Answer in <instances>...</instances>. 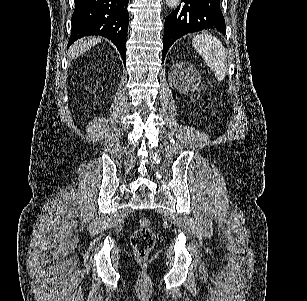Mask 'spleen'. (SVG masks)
<instances>
[{
    "label": "spleen",
    "mask_w": 307,
    "mask_h": 301,
    "mask_svg": "<svg viewBox=\"0 0 307 301\" xmlns=\"http://www.w3.org/2000/svg\"><path fill=\"white\" fill-rule=\"evenodd\" d=\"M192 44L214 72L215 78L221 82L226 76L227 62L225 48L219 38L212 34H196L192 38Z\"/></svg>",
    "instance_id": "1"
}]
</instances>
